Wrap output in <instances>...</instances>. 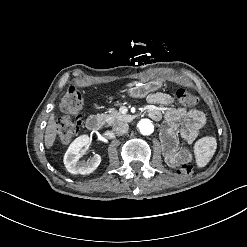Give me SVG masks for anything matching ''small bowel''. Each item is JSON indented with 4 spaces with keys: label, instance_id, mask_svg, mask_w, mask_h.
Returning a JSON list of instances; mask_svg holds the SVG:
<instances>
[{
    "label": "small bowel",
    "instance_id": "small-bowel-1",
    "mask_svg": "<svg viewBox=\"0 0 247 247\" xmlns=\"http://www.w3.org/2000/svg\"><path fill=\"white\" fill-rule=\"evenodd\" d=\"M149 105L147 113L153 120H160L162 112L159 106L171 105L174 98L167 93L156 92L147 97ZM205 116L198 109H187L185 107H176L170 109L165 114V123L161 130V139L163 143L164 156L166 160L173 165L176 156L177 140L176 134L187 142L193 143L199 136L204 124Z\"/></svg>",
    "mask_w": 247,
    "mask_h": 247
}]
</instances>
